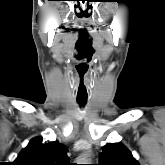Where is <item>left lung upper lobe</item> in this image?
<instances>
[{"mask_svg": "<svg viewBox=\"0 0 165 165\" xmlns=\"http://www.w3.org/2000/svg\"><path fill=\"white\" fill-rule=\"evenodd\" d=\"M102 150L98 165H139L131 152L120 143H108Z\"/></svg>", "mask_w": 165, "mask_h": 165, "instance_id": "obj_1", "label": "left lung upper lobe"}]
</instances>
